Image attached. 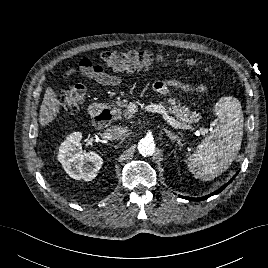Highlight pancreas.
<instances>
[{
	"instance_id": "cf45deb5",
	"label": "pancreas",
	"mask_w": 268,
	"mask_h": 268,
	"mask_svg": "<svg viewBox=\"0 0 268 268\" xmlns=\"http://www.w3.org/2000/svg\"><path fill=\"white\" fill-rule=\"evenodd\" d=\"M170 113L175 116L182 124H192L198 123L201 118L200 113L196 111H191L188 107L182 106L179 101L175 99L168 100ZM129 103L127 99H118L110 107L112 108V114L116 119H121L122 117L130 119L133 114L128 109Z\"/></svg>"
}]
</instances>
